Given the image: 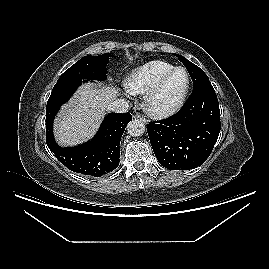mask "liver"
I'll return each mask as SVG.
<instances>
[{"label": "liver", "mask_w": 269, "mask_h": 269, "mask_svg": "<svg viewBox=\"0 0 269 269\" xmlns=\"http://www.w3.org/2000/svg\"><path fill=\"white\" fill-rule=\"evenodd\" d=\"M118 94L115 87L98 89L91 84L82 85L56 119L54 131L59 144L75 145L89 139Z\"/></svg>", "instance_id": "obj_1"}]
</instances>
